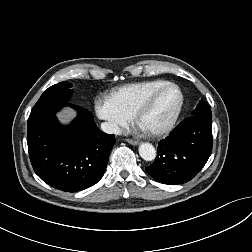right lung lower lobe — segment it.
<instances>
[{"instance_id": "obj_1", "label": "right lung lower lobe", "mask_w": 252, "mask_h": 252, "mask_svg": "<svg viewBox=\"0 0 252 252\" xmlns=\"http://www.w3.org/2000/svg\"><path fill=\"white\" fill-rule=\"evenodd\" d=\"M65 105L77 110L69 126L61 125L55 116ZM93 119L89 110L70 103L29 117V156L35 173L45 183L65 192H77L102 178L115 136L100 131Z\"/></svg>"}]
</instances>
